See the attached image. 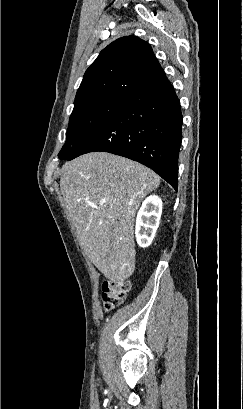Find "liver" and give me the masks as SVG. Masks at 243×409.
Returning a JSON list of instances; mask_svg holds the SVG:
<instances>
[{"instance_id": "obj_1", "label": "liver", "mask_w": 243, "mask_h": 409, "mask_svg": "<svg viewBox=\"0 0 243 409\" xmlns=\"http://www.w3.org/2000/svg\"><path fill=\"white\" fill-rule=\"evenodd\" d=\"M160 184L151 169L106 152L82 155L61 169L63 201L81 247L111 281L135 270L134 217Z\"/></svg>"}]
</instances>
